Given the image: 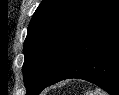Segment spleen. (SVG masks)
Segmentation results:
<instances>
[{
	"mask_svg": "<svg viewBox=\"0 0 119 95\" xmlns=\"http://www.w3.org/2000/svg\"><path fill=\"white\" fill-rule=\"evenodd\" d=\"M86 95H108V93H106L100 88H96L94 91L86 92Z\"/></svg>",
	"mask_w": 119,
	"mask_h": 95,
	"instance_id": "spleen-1",
	"label": "spleen"
}]
</instances>
